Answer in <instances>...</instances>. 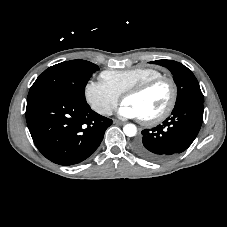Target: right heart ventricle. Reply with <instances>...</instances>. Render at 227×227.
I'll list each match as a JSON object with an SVG mask.
<instances>
[{
  "mask_svg": "<svg viewBox=\"0 0 227 227\" xmlns=\"http://www.w3.org/2000/svg\"><path fill=\"white\" fill-rule=\"evenodd\" d=\"M161 75L162 73L158 69L139 66L126 70L103 71L100 78L103 83L120 96L130 88Z\"/></svg>",
  "mask_w": 227,
  "mask_h": 227,
  "instance_id": "obj_1",
  "label": "right heart ventricle"
}]
</instances>
